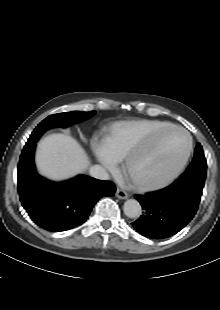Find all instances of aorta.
I'll return each mask as SVG.
<instances>
[{
    "label": "aorta",
    "instance_id": "aorta-1",
    "mask_svg": "<svg viewBox=\"0 0 220 310\" xmlns=\"http://www.w3.org/2000/svg\"><path fill=\"white\" fill-rule=\"evenodd\" d=\"M123 211L127 217L136 218L141 214V205L137 200L129 199L124 203Z\"/></svg>",
    "mask_w": 220,
    "mask_h": 310
}]
</instances>
